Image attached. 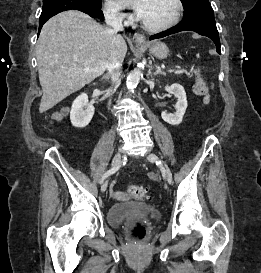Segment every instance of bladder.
<instances>
[{
  "label": "bladder",
  "instance_id": "1",
  "mask_svg": "<svg viewBox=\"0 0 261 273\" xmlns=\"http://www.w3.org/2000/svg\"><path fill=\"white\" fill-rule=\"evenodd\" d=\"M146 217L152 221L160 220L159 212L142 203L120 202L114 204L108 211V222L115 227H119L128 218Z\"/></svg>",
  "mask_w": 261,
  "mask_h": 273
}]
</instances>
